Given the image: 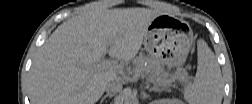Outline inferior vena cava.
Segmentation results:
<instances>
[{
  "label": "inferior vena cava",
  "mask_w": 252,
  "mask_h": 104,
  "mask_svg": "<svg viewBox=\"0 0 252 104\" xmlns=\"http://www.w3.org/2000/svg\"><path fill=\"white\" fill-rule=\"evenodd\" d=\"M122 83L117 81V80H112L110 82L107 83L106 87H105V90L106 92L108 93H117V92H120L122 90Z\"/></svg>",
  "instance_id": "inferior-vena-cava-1"
}]
</instances>
